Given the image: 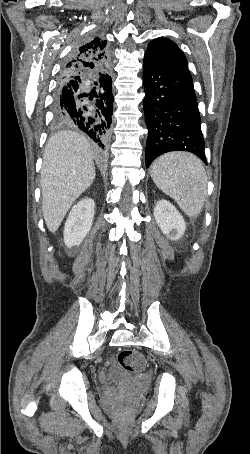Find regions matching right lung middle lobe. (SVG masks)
Instances as JSON below:
<instances>
[{
	"instance_id": "1",
	"label": "right lung middle lobe",
	"mask_w": 250,
	"mask_h": 454,
	"mask_svg": "<svg viewBox=\"0 0 250 454\" xmlns=\"http://www.w3.org/2000/svg\"><path fill=\"white\" fill-rule=\"evenodd\" d=\"M54 120H55V122H56L57 124H59V125H60V123L58 122V120H57L56 118H54Z\"/></svg>"
}]
</instances>
